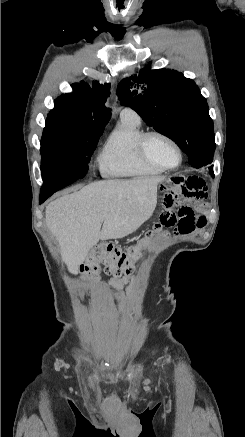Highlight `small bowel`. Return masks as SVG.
I'll use <instances>...</instances> for the list:
<instances>
[{"label": "small bowel", "instance_id": "c3829d8e", "mask_svg": "<svg viewBox=\"0 0 245 437\" xmlns=\"http://www.w3.org/2000/svg\"><path fill=\"white\" fill-rule=\"evenodd\" d=\"M203 176L199 171H194L185 183H178V192H182V195L188 198H203L206 194ZM179 204L178 212L173 213L175 214L173 215V208ZM163 205L165 208L160 209L158 222L163 224L164 229H176L180 234H190L206 225L205 205L202 202H198L194 207L193 203L175 202L171 197L165 199ZM130 279V276H125L122 279H110L109 284L117 287L128 283Z\"/></svg>", "mask_w": 245, "mask_h": 437}]
</instances>
